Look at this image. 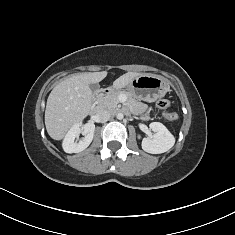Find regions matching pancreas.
I'll return each instance as SVG.
<instances>
[{"label": "pancreas", "instance_id": "cf45deb5", "mask_svg": "<svg viewBox=\"0 0 235 235\" xmlns=\"http://www.w3.org/2000/svg\"><path fill=\"white\" fill-rule=\"evenodd\" d=\"M120 96L126 97L127 105H129L133 110L139 111L145 107L142 103L135 100L129 92L124 91H112L105 96L99 97V105L110 110H115L119 103Z\"/></svg>", "mask_w": 235, "mask_h": 235}]
</instances>
